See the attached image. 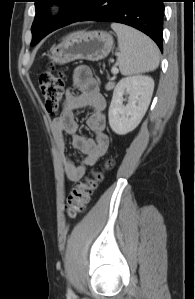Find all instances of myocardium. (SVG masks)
Masks as SVG:
<instances>
[{
    "instance_id": "1",
    "label": "myocardium",
    "mask_w": 195,
    "mask_h": 299,
    "mask_svg": "<svg viewBox=\"0 0 195 299\" xmlns=\"http://www.w3.org/2000/svg\"><path fill=\"white\" fill-rule=\"evenodd\" d=\"M65 11V8L60 3H51L46 7V16L48 18L54 19L59 17L61 14H63Z\"/></svg>"
}]
</instances>
